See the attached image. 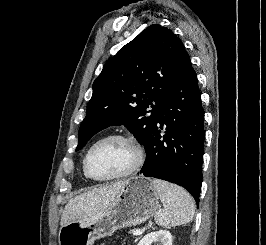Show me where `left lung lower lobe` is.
<instances>
[{
	"mask_svg": "<svg viewBox=\"0 0 266 245\" xmlns=\"http://www.w3.org/2000/svg\"><path fill=\"white\" fill-rule=\"evenodd\" d=\"M163 125L167 126L166 134L161 136ZM204 140V111L189 59L159 108L146 147V160L137 175L182 186L198 204Z\"/></svg>",
	"mask_w": 266,
	"mask_h": 245,
	"instance_id": "left-lung-lower-lobe-1",
	"label": "left lung lower lobe"
}]
</instances>
